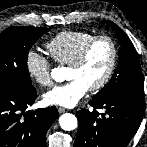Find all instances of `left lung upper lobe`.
Instances as JSON below:
<instances>
[{
	"instance_id": "1",
	"label": "left lung upper lobe",
	"mask_w": 147,
	"mask_h": 147,
	"mask_svg": "<svg viewBox=\"0 0 147 147\" xmlns=\"http://www.w3.org/2000/svg\"><path fill=\"white\" fill-rule=\"evenodd\" d=\"M109 25L119 40V64L108 84L93 98L109 99L129 95L144 99V80L137 51L128 36L112 21Z\"/></svg>"
}]
</instances>
